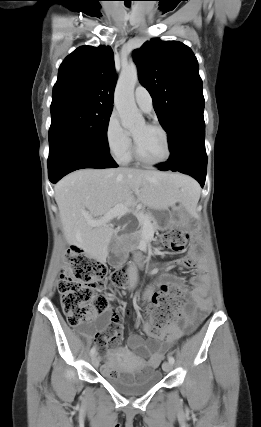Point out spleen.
Returning <instances> with one entry per match:
<instances>
[{"instance_id": "1", "label": "spleen", "mask_w": 261, "mask_h": 427, "mask_svg": "<svg viewBox=\"0 0 261 427\" xmlns=\"http://www.w3.org/2000/svg\"><path fill=\"white\" fill-rule=\"evenodd\" d=\"M187 192L191 198L192 204H196L200 197V188L198 185L194 184L193 186L189 187Z\"/></svg>"}]
</instances>
